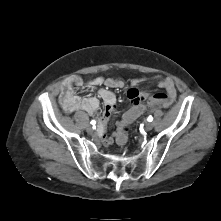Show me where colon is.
Masks as SVG:
<instances>
[{"instance_id":"5ec220e1","label":"colon","mask_w":221,"mask_h":221,"mask_svg":"<svg viewBox=\"0 0 221 221\" xmlns=\"http://www.w3.org/2000/svg\"><path fill=\"white\" fill-rule=\"evenodd\" d=\"M78 86L79 85L77 84H73L74 88H77ZM169 104L170 99L163 94L145 95L143 102H139L135 106L130 107L121 116L120 123L117 125L116 137L114 139L115 144L122 146L127 142V133L131 130L130 126L133 125L138 117H141L144 113H147L154 107H167Z\"/></svg>"}]
</instances>
